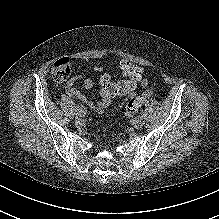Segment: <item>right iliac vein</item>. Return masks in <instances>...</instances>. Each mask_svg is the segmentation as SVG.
Listing matches in <instances>:
<instances>
[{"label": "right iliac vein", "instance_id": "63e3f726", "mask_svg": "<svg viewBox=\"0 0 219 219\" xmlns=\"http://www.w3.org/2000/svg\"><path fill=\"white\" fill-rule=\"evenodd\" d=\"M83 117H84L83 113H82V112H78V113L76 114V116H75V119H76L77 121H81V120L83 119Z\"/></svg>", "mask_w": 219, "mask_h": 219}]
</instances>
